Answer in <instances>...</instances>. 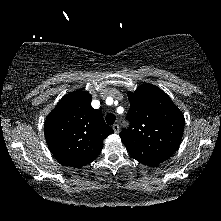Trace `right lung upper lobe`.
I'll return each instance as SVG.
<instances>
[{
  "instance_id": "1",
  "label": "right lung upper lobe",
  "mask_w": 221,
  "mask_h": 221,
  "mask_svg": "<svg viewBox=\"0 0 221 221\" xmlns=\"http://www.w3.org/2000/svg\"><path fill=\"white\" fill-rule=\"evenodd\" d=\"M45 138L50 151L64 165L74 168L92 162L113 133L102 113L91 106V95L77 90L66 94L47 116Z\"/></svg>"
}]
</instances>
